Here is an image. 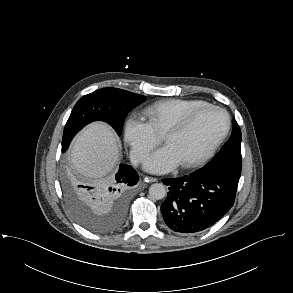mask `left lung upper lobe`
I'll use <instances>...</instances> for the list:
<instances>
[{"label":"left lung upper lobe","instance_id":"left-lung-upper-lobe-1","mask_svg":"<svg viewBox=\"0 0 293 293\" xmlns=\"http://www.w3.org/2000/svg\"><path fill=\"white\" fill-rule=\"evenodd\" d=\"M241 131L233 119L232 135L222 150L205 167L223 169L238 177L241 175Z\"/></svg>","mask_w":293,"mask_h":293}]
</instances>
